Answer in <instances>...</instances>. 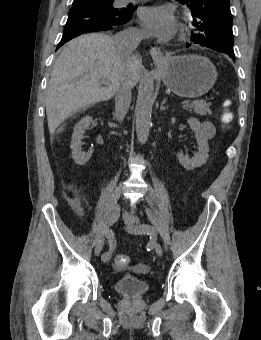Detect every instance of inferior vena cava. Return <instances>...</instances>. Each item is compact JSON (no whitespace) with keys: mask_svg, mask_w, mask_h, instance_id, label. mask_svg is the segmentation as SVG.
I'll use <instances>...</instances> for the list:
<instances>
[{"mask_svg":"<svg viewBox=\"0 0 261 340\" xmlns=\"http://www.w3.org/2000/svg\"><path fill=\"white\" fill-rule=\"evenodd\" d=\"M144 33L137 29L129 28L114 36V46L124 58L130 57L144 38ZM132 85L128 78L121 77L115 91V116L121 121L124 119L131 103Z\"/></svg>","mask_w":261,"mask_h":340,"instance_id":"inferior-vena-cava-1","label":"inferior vena cava"}]
</instances>
